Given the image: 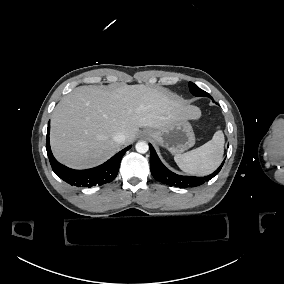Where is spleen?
Segmentation results:
<instances>
[{
    "label": "spleen",
    "mask_w": 284,
    "mask_h": 284,
    "mask_svg": "<svg viewBox=\"0 0 284 284\" xmlns=\"http://www.w3.org/2000/svg\"><path fill=\"white\" fill-rule=\"evenodd\" d=\"M224 136L217 130L212 139L202 146L174 155V160L184 172L206 175L214 171L222 161Z\"/></svg>",
    "instance_id": "obj_1"
}]
</instances>
